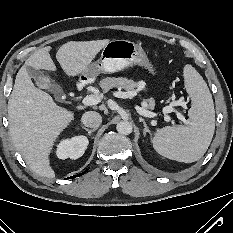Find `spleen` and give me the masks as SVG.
<instances>
[{"mask_svg": "<svg viewBox=\"0 0 233 233\" xmlns=\"http://www.w3.org/2000/svg\"><path fill=\"white\" fill-rule=\"evenodd\" d=\"M185 88L191 97L188 125L158 130L152 144L160 155L179 162L198 161L207 151L215 130L212 95L203 77L191 65L183 71Z\"/></svg>", "mask_w": 233, "mask_h": 233, "instance_id": "1", "label": "spleen"}]
</instances>
